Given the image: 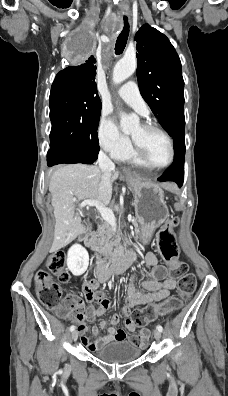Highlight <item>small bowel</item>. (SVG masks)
I'll return each instance as SVG.
<instances>
[{
	"instance_id": "c3829d8e",
	"label": "small bowel",
	"mask_w": 228,
	"mask_h": 396,
	"mask_svg": "<svg viewBox=\"0 0 228 396\" xmlns=\"http://www.w3.org/2000/svg\"><path fill=\"white\" fill-rule=\"evenodd\" d=\"M133 261L136 258L135 252L129 254ZM144 263L152 268L151 279L141 282L143 291H139L135 285V275H133L127 285L126 290V304L122 308V315L126 317L127 332L118 328L120 316L114 314L109 320H102L98 325L92 327V333L95 335L93 340L85 336L88 330L87 321H94L97 317L102 316L109 308L110 301L106 298L105 293L99 290V285L105 279L101 275L94 278L86 279L82 285V291L87 302H96L95 308L84 309L80 305V311L76 314V321L78 323V331L82 334L81 342L89 350L93 351L97 347L112 342V341H128L137 346H145L149 331L141 328L138 334H134L136 325L129 318L131 309L135 305H148L154 302L164 300L170 296V292L176 287L174 278L168 276L165 266L158 264V258L155 252H148L144 257ZM106 329V334L99 336L100 330Z\"/></svg>"
}]
</instances>
